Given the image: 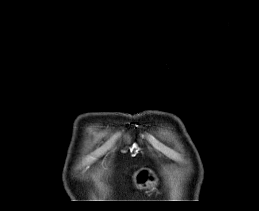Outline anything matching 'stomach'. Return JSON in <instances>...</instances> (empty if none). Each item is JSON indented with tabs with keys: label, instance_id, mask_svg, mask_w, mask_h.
Here are the masks:
<instances>
[{
	"label": "stomach",
	"instance_id": "obj_1",
	"mask_svg": "<svg viewBox=\"0 0 259 211\" xmlns=\"http://www.w3.org/2000/svg\"><path fill=\"white\" fill-rule=\"evenodd\" d=\"M133 179H134L135 185L139 188H142V187L155 188L158 181L154 172L146 168L136 172Z\"/></svg>",
	"mask_w": 259,
	"mask_h": 211
}]
</instances>
